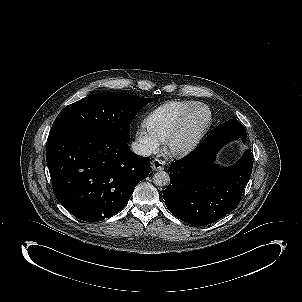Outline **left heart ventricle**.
<instances>
[{
  "mask_svg": "<svg viewBox=\"0 0 302 302\" xmlns=\"http://www.w3.org/2000/svg\"><path fill=\"white\" fill-rule=\"evenodd\" d=\"M207 118L204 110H199L188 117L172 140L175 147L182 146L191 140L201 129Z\"/></svg>",
  "mask_w": 302,
  "mask_h": 302,
  "instance_id": "1",
  "label": "left heart ventricle"
}]
</instances>
